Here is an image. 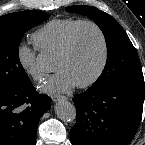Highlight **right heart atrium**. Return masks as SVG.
<instances>
[{
  "mask_svg": "<svg viewBox=\"0 0 145 145\" xmlns=\"http://www.w3.org/2000/svg\"><path fill=\"white\" fill-rule=\"evenodd\" d=\"M17 62L20 68L33 80L42 81L46 76L45 69L39 64L37 47L20 43L16 49Z\"/></svg>",
  "mask_w": 145,
  "mask_h": 145,
  "instance_id": "1",
  "label": "right heart atrium"
}]
</instances>
